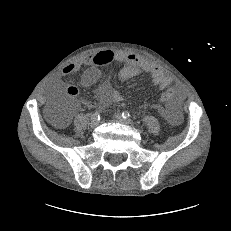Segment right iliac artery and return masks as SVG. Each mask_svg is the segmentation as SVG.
<instances>
[{
    "label": "right iliac artery",
    "instance_id": "right-iliac-artery-1",
    "mask_svg": "<svg viewBox=\"0 0 231 231\" xmlns=\"http://www.w3.org/2000/svg\"><path fill=\"white\" fill-rule=\"evenodd\" d=\"M91 119H93V120L99 119V112H98V111H95V112L91 115Z\"/></svg>",
    "mask_w": 231,
    "mask_h": 231
}]
</instances>
